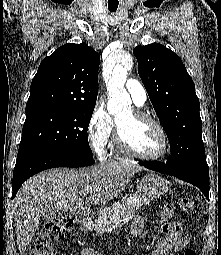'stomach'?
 Masks as SVG:
<instances>
[{"label":"stomach","mask_w":221,"mask_h":255,"mask_svg":"<svg viewBox=\"0 0 221 255\" xmlns=\"http://www.w3.org/2000/svg\"><path fill=\"white\" fill-rule=\"evenodd\" d=\"M169 182L155 174L144 176L137 184V191L144 203L160 198L169 190Z\"/></svg>","instance_id":"1"}]
</instances>
